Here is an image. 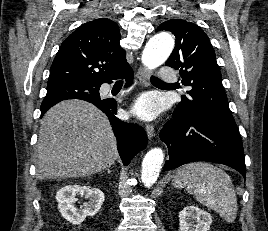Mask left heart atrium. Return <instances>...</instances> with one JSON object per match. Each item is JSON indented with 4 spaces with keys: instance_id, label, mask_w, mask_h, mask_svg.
Returning a JSON list of instances; mask_svg holds the SVG:
<instances>
[{
    "instance_id": "1",
    "label": "left heart atrium",
    "mask_w": 268,
    "mask_h": 231,
    "mask_svg": "<svg viewBox=\"0 0 268 231\" xmlns=\"http://www.w3.org/2000/svg\"><path fill=\"white\" fill-rule=\"evenodd\" d=\"M131 114L143 120H151L158 114V108L151 95H143L137 99L132 107Z\"/></svg>"
}]
</instances>
